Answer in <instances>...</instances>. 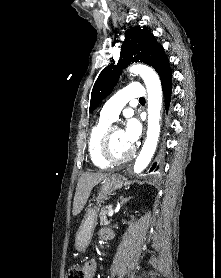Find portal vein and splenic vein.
Instances as JSON below:
<instances>
[{"label":"portal vein and splenic vein","mask_w":221,"mask_h":278,"mask_svg":"<svg viewBox=\"0 0 221 278\" xmlns=\"http://www.w3.org/2000/svg\"><path fill=\"white\" fill-rule=\"evenodd\" d=\"M116 212V210L114 209H110V211L108 212V216H113V214Z\"/></svg>","instance_id":"18ae733b"}]
</instances>
